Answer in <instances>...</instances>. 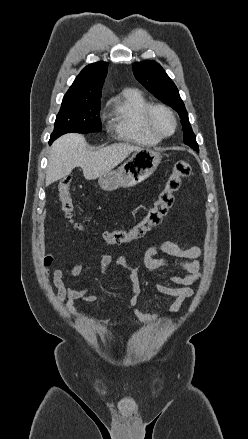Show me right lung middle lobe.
Here are the masks:
<instances>
[{
	"instance_id": "dd1d6c3e",
	"label": "right lung middle lobe",
	"mask_w": 248,
	"mask_h": 439,
	"mask_svg": "<svg viewBox=\"0 0 248 439\" xmlns=\"http://www.w3.org/2000/svg\"><path fill=\"white\" fill-rule=\"evenodd\" d=\"M99 111L100 100H63L49 143L69 132L86 134L101 131Z\"/></svg>"
}]
</instances>
